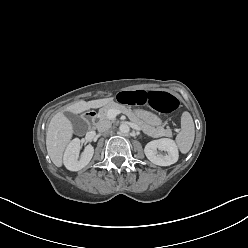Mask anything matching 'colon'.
Masks as SVG:
<instances>
[{
	"label": "colon",
	"mask_w": 248,
	"mask_h": 248,
	"mask_svg": "<svg viewBox=\"0 0 248 248\" xmlns=\"http://www.w3.org/2000/svg\"><path fill=\"white\" fill-rule=\"evenodd\" d=\"M121 104L150 105L161 113H171L178 107L177 98L165 91L129 90L117 95Z\"/></svg>",
	"instance_id": "obj_1"
}]
</instances>
